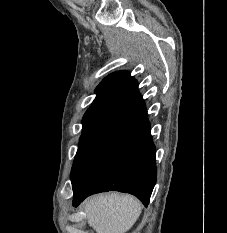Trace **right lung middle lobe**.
I'll return each mask as SVG.
<instances>
[{
  "mask_svg": "<svg viewBox=\"0 0 227 233\" xmlns=\"http://www.w3.org/2000/svg\"><path fill=\"white\" fill-rule=\"evenodd\" d=\"M118 138L113 134H82L71 170L72 187H76L97 158Z\"/></svg>",
  "mask_w": 227,
  "mask_h": 233,
  "instance_id": "1",
  "label": "right lung middle lobe"
}]
</instances>
